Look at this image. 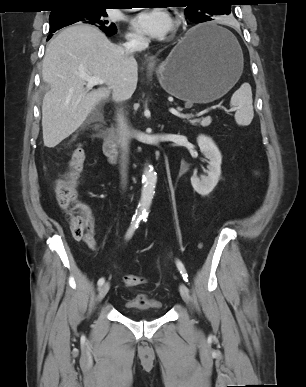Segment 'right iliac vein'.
<instances>
[{"label": "right iliac vein", "instance_id": "right-iliac-vein-1", "mask_svg": "<svg viewBox=\"0 0 306 387\" xmlns=\"http://www.w3.org/2000/svg\"><path fill=\"white\" fill-rule=\"evenodd\" d=\"M109 288H110V284L108 282L100 286V288L98 289V295H97L98 301H101L106 296V294L109 291Z\"/></svg>", "mask_w": 306, "mask_h": 387}]
</instances>
